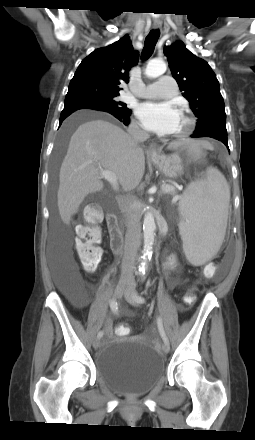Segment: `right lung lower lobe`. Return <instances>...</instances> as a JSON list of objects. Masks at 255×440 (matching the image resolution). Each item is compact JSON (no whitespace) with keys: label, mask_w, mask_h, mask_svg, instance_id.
Returning a JSON list of instances; mask_svg holds the SVG:
<instances>
[{"label":"right lung lower lobe","mask_w":255,"mask_h":440,"mask_svg":"<svg viewBox=\"0 0 255 440\" xmlns=\"http://www.w3.org/2000/svg\"><path fill=\"white\" fill-rule=\"evenodd\" d=\"M77 110L104 111V112H108V113L112 114L117 119H119L121 122H123L125 125H128L130 122L129 116H130L131 111L120 112L118 110L106 107L104 105L77 102V103L65 104L64 109L61 112V116H60V125L65 118H67L70 114H72L73 112H75Z\"/></svg>","instance_id":"right-lung-lower-lobe-1"}]
</instances>
